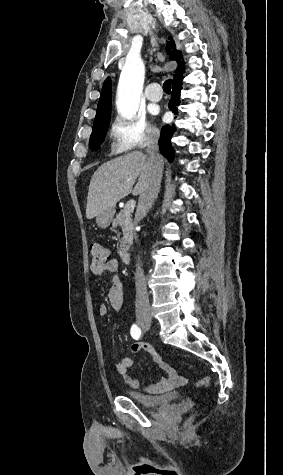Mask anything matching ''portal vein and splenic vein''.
I'll return each mask as SVG.
<instances>
[{
	"label": "portal vein and splenic vein",
	"instance_id": "portal-vein-and-splenic-vein-1",
	"mask_svg": "<svg viewBox=\"0 0 283 475\" xmlns=\"http://www.w3.org/2000/svg\"><path fill=\"white\" fill-rule=\"evenodd\" d=\"M130 202H132V200H130ZM126 208H127V210H131V212H133V210H134L133 204H126Z\"/></svg>",
	"mask_w": 283,
	"mask_h": 475
}]
</instances>
